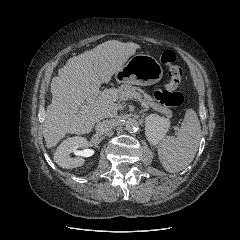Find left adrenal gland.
Listing matches in <instances>:
<instances>
[{"label": "left adrenal gland", "instance_id": "obj_1", "mask_svg": "<svg viewBox=\"0 0 240 240\" xmlns=\"http://www.w3.org/2000/svg\"><path fill=\"white\" fill-rule=\"evenodd\" d=\"M145 112H147V110H143L142 111V113H143L142 117L145 115Z\"/></svg>", "mask_w": 240, "mask_h": 240}]
</instances>
